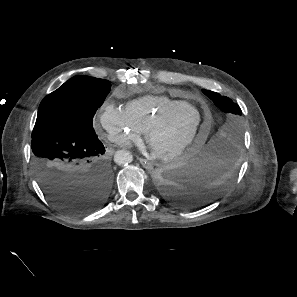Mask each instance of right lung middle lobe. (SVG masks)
<instances>
[{
	"label": "right lung middle lobe",
	"instance_id": "obj_1",
	"mask_svg": "<svg viewBox=\"0 0 297 297\" xmlns=\"http://www.w3.org/2000/svg\"><path fill=\"white\" fill-rule=\"evenodd\" d=\"M110 87L107 80L84 75L69 79L42 100L32 134L57 126H77L95 132L93 117Z\"/></svg>",
	"mask_w": 297,
	"mask_h": 297
}]
</instances>
